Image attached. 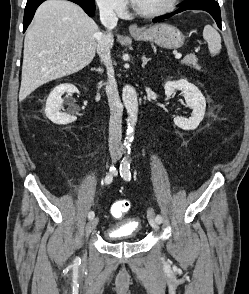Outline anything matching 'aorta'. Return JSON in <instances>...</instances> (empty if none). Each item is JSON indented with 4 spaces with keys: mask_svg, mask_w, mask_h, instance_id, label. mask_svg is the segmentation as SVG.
Listing matches in <instances>:
<instances>
[{
    "mask_svg": "<svg viewBox=\"0 0 249 294\" xmlns=\"http://www.w3.org/2000/svg\"><path fill=\"white\" fill-rule=\"evenodd\" d=\"M122 100L128 113V130L125 145H130L134 135V128L137 122L138 100L135 89L130 85H125L122 90Z\"/></svg>",
    "mask_w": 249,
    "mask_h": 294,
    "instance_id": "obj_1",
    "label": "aorta"
}]
</instances>
